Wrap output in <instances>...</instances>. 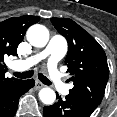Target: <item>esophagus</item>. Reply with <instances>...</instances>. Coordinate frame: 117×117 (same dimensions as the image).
<instances>
[{
	"instance_id": "esophagus-1",
	"label": "esophagus",
	"mask_w": 117,
	"mask_h": 117,
	"mask_svg": "<svg viewBox=\"0 0 117 117\" xmlns=\"http://www.w3.org/2000/svg\"><path fill=\"white\" fill-rule=\"evenodd\" d=\"M35 87H36L37 89H40V88L44 87V84L41 83V82H39V81H37Z\"/></svg>"
}]
</instances>
